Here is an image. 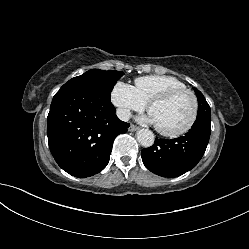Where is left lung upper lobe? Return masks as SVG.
I'll list each match as a JSON object with an SVG mask.
<instances>
[{"mask_svg":"<svg viewBox=\"0 0 249 249\" xmlns=\"http://www.w3.org/2000/svg\"><path fill=\"white\" fill-rule=\"evenodd\" d=\"M197 98H198V114L197 117L201 116H211L210 106L208 105L206 99L204 98L203 94L198 91L197 89H194Z\"/></svg>","mask_w":249,"mask_h":249,"instance_id":"1","label":"left lung upper lobe"}]
</instances>
